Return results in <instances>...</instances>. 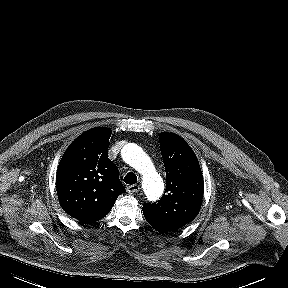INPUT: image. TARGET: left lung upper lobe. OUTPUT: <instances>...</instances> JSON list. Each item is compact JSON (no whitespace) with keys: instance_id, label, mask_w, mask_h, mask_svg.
I'll list each match as a JSON object with an SVG mask.
<instances>
[{"instance_id":"5c2ea615","label":"left lung upper lobe","mask_w":288,"mask_h":288,"mask_svg":"<svg viewBox=\"0 0 288 288\" xmlns=\"http://www.w3.org/2000/svg\"><path fill=\"white\" fill-rule=\"evenodd\" d=\"M160 149L166 171V190L143 211L153 219L178 230L191 222L201 208L204 183L198 159L180 136L160 133Z\"/></svg>"}]
</instances>
